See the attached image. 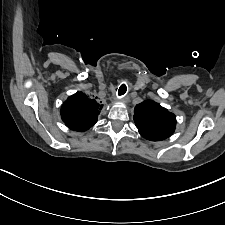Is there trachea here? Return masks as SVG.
I'll return each instance as SVG.
<instances>
[{
  "label": "trachea",
  "mask_w": 225,
  "mask_h": 225,
  "mask_svg": "<svg viewBox=\"0 0 225 225\" xmlns=\"http://www.w3.org/2000/svg\"><path fill=\"white\" fill-rule=\"evenodd\" d=\"M127 91V87L125 85V83L121 84V86L119 87V90H118V95L121 96V95H124Z\"/></svg>",
  "instance_id": "1"
}]
</instances>
